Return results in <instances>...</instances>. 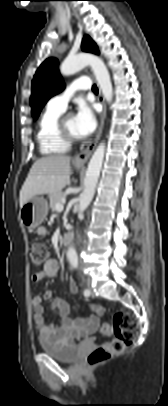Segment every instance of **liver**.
<instances>
[{
  "instance_id": "1",
  "label": "liver",
  "mask_w": 168,
  "mask_h": 406,
  "mask_svg": "<svg viewBox=\"0 0 168 406\" xmlns=\"http://www.w3.org/2000/svg\"><path fill=\"white\" fill-rule=\"evenodd\" d=\"M70 157L50 155L34 162L20 191V208L36 195L52 196L70 181Z\"/></svg>"
}]
</instances>
